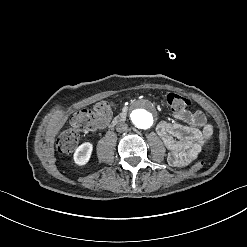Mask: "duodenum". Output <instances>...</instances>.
Returning a JSON list of instances; mask_svg holds the SVG:
<instances>
[{
  "mask_svg": "<svg viewBox=\"0 0 247 247\" xmlns=\"http://www.w3.org/2000/svg\"><path fill=\"white\" fill-rule=\"evenodd\" d=\"M127 113H128V109L127 108L121 109L117 113V115L114 117V119L112 120L111 125L113 126V125H116V124L122 122L125 119Z\"/></svg>",
  "mask_w": 247,
  "mask_h": 247,
  "instance_id": "duodenum-1",
  "label": "duodenum"
}]
</instances>
